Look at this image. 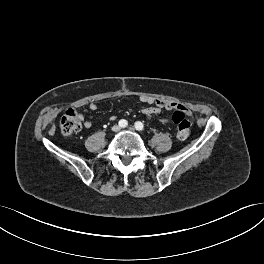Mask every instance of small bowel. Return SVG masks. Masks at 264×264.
I'll list each match as a JSON object with an SVG mask.
<instances>
[{
  "label": "small bowel",
  "instance_id": "1",
  "mask_svg": "<svg viewBox=\"0 0 264 264\" xmlns=\"http://www.w3.org/2000/svg\"><path fill=\"white\" fill-rule=\"evenodd\" d=\"M141 101L148 106L142 109V113L145 115H157L161 112V110L167 109V110H172L175 108L180 107L177 103L173 101H166V100H155L151 97H143L141 98ZM89 109L92 111H95L97 109V105L95 103H90L88 105ZM187 114H190V112L187 110ZM80 120L83 121V125L86 129H89L91 127V122L88 120H84L83 115H79ZM114 119V117H112ZM163 122H166V120H162Z\"/></svg>",
  "mask_w": 264,
  "mask_h": 264
}]
</instances>
